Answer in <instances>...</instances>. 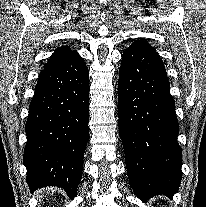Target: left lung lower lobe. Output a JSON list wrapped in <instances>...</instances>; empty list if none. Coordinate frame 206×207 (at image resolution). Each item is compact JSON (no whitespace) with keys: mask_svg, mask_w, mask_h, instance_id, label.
Returning <instances> with one entry per match:
<instances>
[{"mask_svg":"<svg viewBox=\"0 0 206 207\" xmlns=\"http://www.w3.org/2000/svg\"><path fill=\"white\" fill-rule=\"evenodd\" d=\"M158 54L132 44L122 56L118 82L119 129L130 186L142 201L170 198L181 182L182 151L175 103Z\"/></svg>","mask_w":206,"mask_h":207,"instance_id":"1","label":"left lung lower lobe"}]
</instances>
